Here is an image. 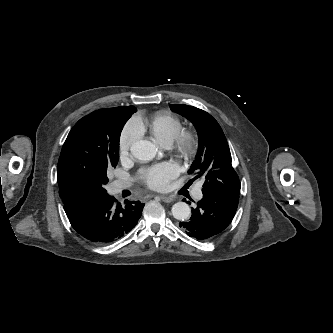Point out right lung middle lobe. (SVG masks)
I'll return each instance as SVG.
<instances>
[{
	"instance_id": "dd1d6c3e",
	"label": "right lung middle lobe",
	"mask_w": 333,
	"mask_h": 333,
	"mask_svg": "<svg viewBox=\"0 0 333 333\" xmlns=\"http://www.w3.org/2000/svg\"><path fill=\"white\" fill-rule=\"evenodd\" d=\"M136 111L134 106L99 109L80 119L69 132L57 176L81 199L107 195V168L116 167L121 131Z\"/></svg>"
}]
</instances>
